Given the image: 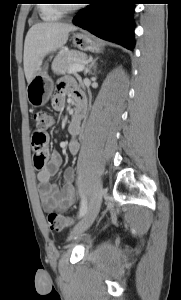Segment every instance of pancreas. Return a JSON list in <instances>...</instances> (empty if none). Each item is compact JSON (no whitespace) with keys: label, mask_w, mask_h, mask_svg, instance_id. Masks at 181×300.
<instances>
[{"label":"pancreas","mask_w":181,"mask_h":300,"mask_svg":"<svg viewBox=\"0 0 181 300\" xmlns=\"http://www.w3.org/2000/svg\"><path fill=\"white\" fill-rule=\"evenodd\" d=\"M86 55L82 52L71 50L58 54L52 63V70L58 75L69 73L74 64H84Z\"/></svg>","instance_id":"pancreas-1"}]
</instances>
